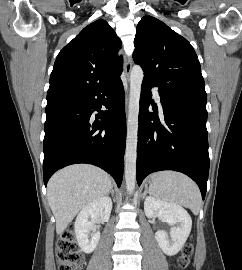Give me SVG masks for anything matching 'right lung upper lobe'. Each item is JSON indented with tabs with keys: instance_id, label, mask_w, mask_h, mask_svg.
I'll list each match as a JSON object with an SVG mask.
<instances>
[{
	"instance_id": "1",
	"label": "right lung upper lobe",
	"mask_w": 242,
	"mask_h": 270,
	"mask_svg": "<svg viewBox=\"0 0 242 270\" xmlns=\"http://www.w3.org/2000/svg\"><path fill=\"white\" fill-rule=\"evenodd\" d=\"M121 46V40L105 20L86 26L58 54L50 76L47 104L95 90L120 76Z\"/></svg>"
}]
</instances>
